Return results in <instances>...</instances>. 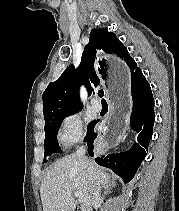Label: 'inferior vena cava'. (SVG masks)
<instances>
[{
  "label": "inferior vena cava",
  "instance_id": "1",
  "mask_svg": "<svg viewBox=\"0 0 179 211\" xmlns=\"http://www.w3.org/2000/svg\"><path fill=\"white\" fill-rule=\"evenodd\" d=\"M86 151H87L86 146L82 145L77 149L76 156H77L78 161H79L80 165L82 166V168H84L86 170V172L89 175H91L92 174V164L85 155ZM93 200L95 203H98L101 201L99 184L96 185V187L93 191Z\"/></svg>",
  "mask_w": 179,
  "mask_h": 211
}]
</instances>
